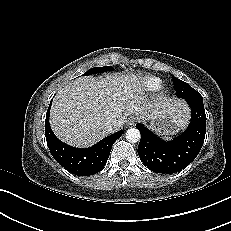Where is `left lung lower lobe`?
Here are the masks:
<instances>
[{"label":"left lung lower lobe","instance_id":"obj_1","mask_svg":"<svg viewBox=\"0 0 231 231\" xmlns=\"http://www.w3.org/2000/svg\"><path fill=\"white\" fill-rule=\"evenodd\" d=\"M191 108V122L186 131L172 141H164L142 124L138 155L144 165L156 173L172 174L187 167L202 148L206 133L203 98L185 99Z\"/></svg>","mask_w":231,"mask_h":231}]
</instances>
